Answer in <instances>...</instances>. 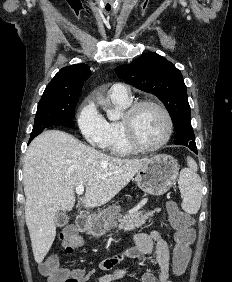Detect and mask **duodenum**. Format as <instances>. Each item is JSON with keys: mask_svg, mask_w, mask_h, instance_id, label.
<instances>
[{"mask_svg": "<svg viewBox=\"0 0 232 282\" xmlns=\"http://www.w3.org/2000/svg\"><path fill=\"white\" fill-rule=\"evenodd\" d=\"M76 226L82 232L87 231L90 226V221L86 216L81 215L76 219Z\"/></svg>", "mask_w": 232, "mask_h": 282, "instance_id": "410a0bca", "label": "duodenum"}]
</instances>
